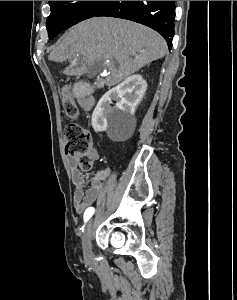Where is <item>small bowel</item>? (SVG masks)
<instances>
[{"instance_id":"c3829d8e","label":"small bowel","mask_w":237,"mask_h":300,"mask_svg":"<svg viewBox=\"0 0 237 300\" xmlns=\"http://www.w3.org/2000/svg\"><path fill=\"white\" fill-rule=\"evenodd\" d=\"M79 104L88 111L93 107L94 101L90 98H84L79 100ZM89 155L93 160L99 158V153L95 147L90 149ZM68 165L72 182L76 187L74 209L77 213H83L94 204L105 188L113 185L112 171L106 168L87 179L79 170L73 158H69Z\"/></svg>"}]
</instances>
